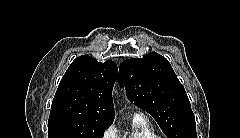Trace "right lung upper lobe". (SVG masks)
I'll return each instance as SVG.
<instances>
[{"label":"right lung upper lobe","mask_w":240,"mask_h":138,"mask_svg":"<svg viewBox=\"0 0 240 138\" xmlns=\"http://www.w3.org/2000/svg\"><path fill=\"white\" fill-rule=\"evenodd\" d=\"M117 76L113 61L101 63L89 55L76 58L60 81L50 118L72 116L112 124V88Z\"/></svg>","instance_id":"obj_1"}]
</instances>
